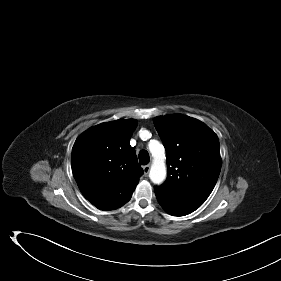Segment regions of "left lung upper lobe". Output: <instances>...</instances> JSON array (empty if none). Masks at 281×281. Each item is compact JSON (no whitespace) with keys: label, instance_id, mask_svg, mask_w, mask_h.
<instances>
[{"label":"left lung upper lobe","instance_id":"left-lung-upper-lobe-1","mask_svg":"<svg viewBox=\"0 0 281 281\" xmlns=\"http://www.w3.org/2000/svg\"><path fill=\"white\" fill-rule=\"evenodd\" d=\"M154 125L166 149L168 176L156 191L182 192L204 203L221 170L217 135L203 122L182 114L159 116Z\"/></svg>","mask_w":281,"mask_h":281}]
</instances>
